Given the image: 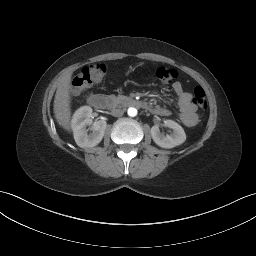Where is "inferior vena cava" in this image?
<instances>
[{
	"mask_svg": "<svg viewBox=\"0 0 256 256\" xmlns=\"http://www.w3.org/2000/svg\"><path fill=\"white\" fill-rule=\"evenodd\" d=\"M124 114V111L122 109H112L111 115L114 117H120Z\"/></svg>",
	"mask_w": 256,
	"mask_h": 256,
	"instance_id": "inferior-vena-cava-1",
	"label": "inferior vena cava"
}]
</instances>
